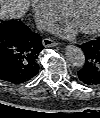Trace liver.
Returning a JSON list of instances; mask_svg holds the SVG:
<instances>
[{"mask_svg": "<svg viewBox=\"0 0 100 118\" xmlns=\"http://www.w3.org/2000/svg\"><path fill=\"white\" fill-rule=\"evenodd\" d=\"M1 18L18 19L24 16L29 8L30 0H0Z\"/></svg>", "mask_w": 100, "mask_h": 118, "instance_id": "liver-1", "label": "liver"}]
</instances>
